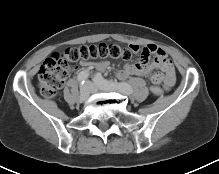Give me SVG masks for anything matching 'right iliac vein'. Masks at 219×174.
Returning <instances> with one entry per match:
<instances>
[{
	"mask_svg": "<svg viewBox=\"0 0 219 174\" xmlns=\"http://www.w3.org/2000/svg\"><path fill=\"white\" fill-rule=\"evenodd\" d=\"M91 90L90 87L86 84L81 87L79 99L81 102H85L88 100L90 96Z\"/></svg>",
	"mask_w": 219,
	"mask_h": 174,
	"instance_id": "right-iliac-vein-1",
	"label": "right iliac vein"
}]
</instances>
